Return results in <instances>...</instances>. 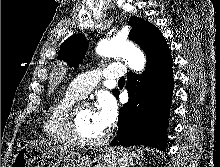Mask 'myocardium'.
Returning <instances> with one entry per match:
<instances>
[{"instance_id":"myocardium-1","label":"myocardium","mask_w":220,"mask_h":167,"mask_svg":"<svg viewBox=\"0 0 220 167\" xmlns=\"http://www.w3.org/2000/svg\"><path fill=\"white\" fill-rule=\"evenodd\" d=\"M83 106L88 107V104L82 101L75 102L71 105L66 114L65 129L68 138L72 144L83 148H92L105 144L109 138L108 131H106L100 138L96 140H84L80 137L77 128V113L79 108Z\"/></svg>"}]
</instances>
